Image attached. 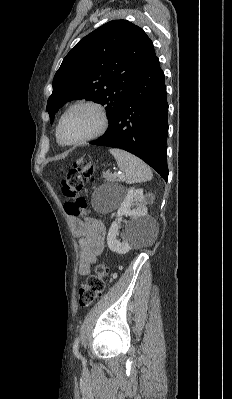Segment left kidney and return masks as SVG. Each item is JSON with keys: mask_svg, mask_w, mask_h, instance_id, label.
I'll return each mask as SVG.
<instances>
[{"mask_svg": "<svg viewBox=\"0 0 232 399\" xmlns=\"http://www.w3.org/2000/svg\"><path fill=\"white\" fill-rule=\"evenodd\" d=\"M136 203V209H131L132 203ZM147 207L144 203L143 190H135L130 188L125 196V200L122 201L119 209H117V217H121L124 213L131 215L132 219L129 221L126 231L123 235V241L117 239L118 225L117 221H113L111 227H109L107 235L108 247L111 251H117V253H127L129 249H132L135 243H142L147 233L151 231L153 225L151 219L147 215Z\"/></svg>", "mask_w": 232, "mask_h": 399, "instance_id": "1", "label": "left kidney"}]
</instances>
